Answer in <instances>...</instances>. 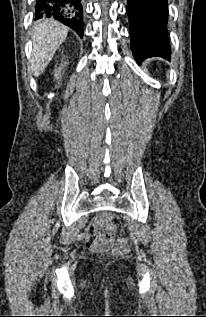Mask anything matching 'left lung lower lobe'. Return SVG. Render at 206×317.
Listing matches in <instances>:
<instances>
[{"mask_svg":"<svg viewBox=\"0 0 206 317\" xmlns=\"http://www.w3.org/2000/svg\"><path fill=\"white\" fill-rule=\"evenodd\" d=\"M127 14L134 58L139 62L153 56L170 60L167 0H127Z\"/></svg>","mask_w":206,"mask_h":317,"instance_id":"obj_1","label":"left lung lower lobe"}]
</instances>
